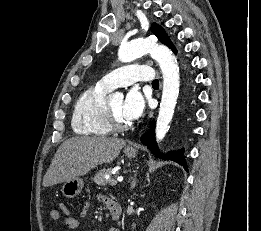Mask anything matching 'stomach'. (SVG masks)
<instances>
[{
  "mask_svg": "<svg viewBox=\"0 0 261 231\" xmlns=\"http://www.w3.org/2000/svg\"><path fill=\"white\" fill-rule=\"evenodd\" d=\"M124 154L127 158L133 159L137 156L138 150L133 147H127L124 149ZM83 185V180L80 177H75L64 183L62 193L67 198H74L81 193Z\"/></svg>",
  "mask_w": 261,
  "mask_h": 231,
  "instance_id": "0dacf381",
  "label": "stomach"
}]
</instances>
